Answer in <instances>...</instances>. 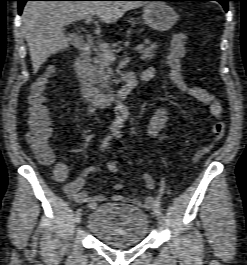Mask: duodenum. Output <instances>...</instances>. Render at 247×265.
Wrapping results in <instances>:
<instances>
[{"label":"duodenum","instance_id":"410a0bca","mask_svg":"<svg viewBox=\"0 0 247 265\" xmlns=\"http://www.w3.org/2000/svg\"><path fill=\"white\" fill-rule=\"evenodd\" d=\"M90 54L91 47L88 44L83 45L76 56L75 66L84 96L95 105L107 107L113 102H119L138 85V82L147 81L144 78L137 79L133 72L126 71L123 75L124 85L117 92L102 91L95 86L91 76Z\"/></svg>","mask_w":247,"mask_h":265}]
</instances>
